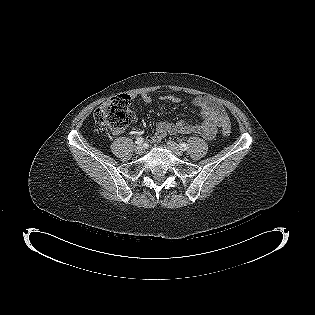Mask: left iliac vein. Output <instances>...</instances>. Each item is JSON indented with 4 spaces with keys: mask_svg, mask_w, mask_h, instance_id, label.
<instances>
[{
    "mask_svg": "<svg viewBox=\"0 0 315 315\" xmlns=\"http://www.w3.org/2000/svg\"><path fill=\"white\" fill-rule=\"evenodd\" d=\"M167 148L170 151H172L176 156H182L183 155V150L174 141H168L167 142Z\"/></svg>",
    "mask_w": 315,
    "mask_h": 315,
    "instance_id": "left-iliac-vein-1",
    "label": "left iliac vein"
}]
</instances>
